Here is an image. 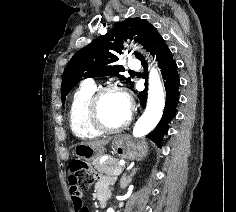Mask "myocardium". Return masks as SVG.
Listing matches in <instances>:
<instances>
[{"instance_id":"f54148a6","label":"myocardium","mask_w":236,"mask_h":212,"mask_svg":"<svg viewBox=\"0 0 236 212\" xmlns=\"http://www.w3.org/2000/svg\"><path fill=\"white\" fill-rule=\"evenodd\" d=\"M112 92H117V93L122 94L127 99V102H128L127 117L124 120V122L117 127L107 126L102 121L101 114H100V104H101L102 98L106 94H109ZM88 116H89V121L91 125L95 127L98 131H100L101 133H106V134H114V133H119L125 130L130 125L133 118V107L130 103L129 97L126 94V92L121 87L111 84V85L100 87L94 92L89 102Z\"/></svg>"}]
</instances>
